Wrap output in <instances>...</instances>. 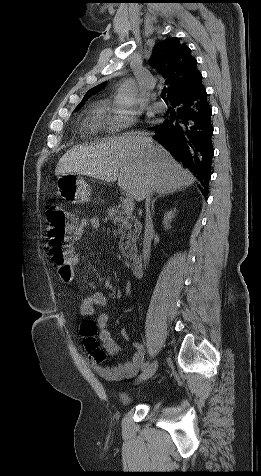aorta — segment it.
I'll return each mask as SVG.
<instances>
[{
    "instance_id": "obj_1",
    "label": "aorta",
    "mask_w": 261,
    "mask_h": 476,
    "mask_svg": "<svg viewBox=\"0 0 261 476\" xmlns=\"http://www.w3.org/2000/svg\"><path fill=\"white\" fill-rule=\"evenodd\" d=\"M134 102V90L130 85L124 86L118 93L116 103L122 107H129Z\"/></svg>"
}]
</instances>
